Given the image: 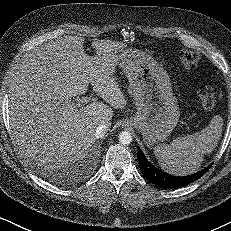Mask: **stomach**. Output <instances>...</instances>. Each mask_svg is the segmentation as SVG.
I'll list each match as a JSON object with an SVG mask.
<instances>
[{
    "label": "stomach",
    "instance_id": "0dacf381",
    "mask_svg": "<svg viewBox=\"0 0 231 231\" xmlns=\"http://www.w3.org/2000/svg\"><path fill=\"white\" fill-rule=\"evenodd\" d=\"M118 64L127 74L137 108L123 125L141 132L147 146L165 140L180 116L168 73L153 57L137 49L121 50Z\"/></svg>",
    "mask_w": 231,
    "mask_h": 231
}]
</instances>
